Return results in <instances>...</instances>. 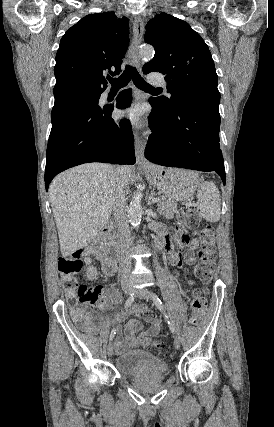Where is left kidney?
Masks as SVG:
<instances>
[{
	"label": "left kidney",
	"mask_w": 274,
	"mask_h": 427,
	"mask_svg": "<svg viewBox=\"0 0 274 427\" xmlns=\"http://www.w3.org/2000/svg\"><path fill=\"white\" fill-rule=\"evenodd\" d=\"M175 241H177V243H180V239H178V237H176V235H175Z\"/></svg>",
	"instance_id": "obj_1"
}]
</instances>
